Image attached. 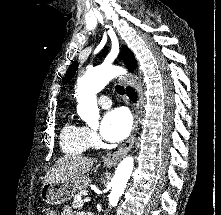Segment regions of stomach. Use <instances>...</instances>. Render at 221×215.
<instances>
[{"label": "stomach", "mask_w": 221, "mask_h": 215, "mask_svg": "<svg viewBox=\"0 0 221 215\" xmlns=\"http://www.w3.org/2000/svg\"><path fill=\"white\" fill-rule=\"evenodd\" d=\"M91 182L89 175H83L73 182H48L43 184L40 197L50 205H59L71 200L77 193L85 190Z\"/></svg>", "instance_id": "1"}]
</instances>
